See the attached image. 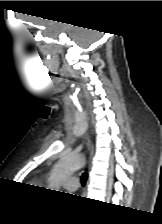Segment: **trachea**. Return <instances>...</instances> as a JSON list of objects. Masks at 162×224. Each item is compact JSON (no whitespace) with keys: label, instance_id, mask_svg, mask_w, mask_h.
<instances>
[{"label":"trachea","instance_id":"3493384b","mask_svg":"<svg viewBox=\"0 0 162 224\" xmlns=\"http://www.w3.org/2000/svg\"><path fill=\"white\" fill-rule=\"evenodd\" d=\"M87 178H88L87 173H83L81 176V183L83 186L86 184Z\"/></svg>","mask_w":162,"mask_h":224}]
</instances>
